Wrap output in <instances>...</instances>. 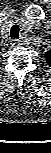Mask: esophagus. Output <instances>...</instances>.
Wrapping results in <instances>:
<instances>
[{
    "label": "esophagus",
    "mask_w": 51,
    "mask_h": 153,
    "mask_svg": "<svg viewBox=\"0 0 51 153\" xmlns=\"http://www.w3.org/2000/svg\"><path fill=\"white\" fill-rule=\"evenodd\" d=\"M13 42H14V44H16V40H14Z\"/></svg>",
    "instance_id": "34e87169"
}]
</instances>
